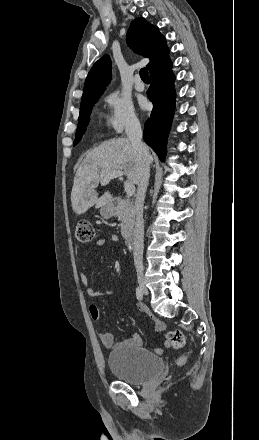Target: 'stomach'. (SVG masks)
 I'll return each mask as SVG.
<instances>
[{"instance_id":"stomach-1","label":"stomach","mask_w":259,"mask_h":440,"mask_svg":"<svg viewBox=\"0 0 259 440\" xmlns=\"http://www.w3.org/2000/svg\"><path fill=\"white\" fill-rule=\"evenodd\" d=\"M100 214L104 219H109L115 215V208L111 203H108L101 208Z\"/></svg>"}]
</instances>
